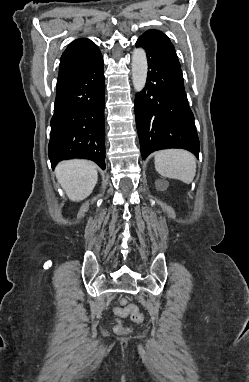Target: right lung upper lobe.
Segmentation results:
<instances>
[{
    "label": "right lung upper lobe",
    "mask_w": 249,
    "mask_h": 382,
    "mask_svg": "<svg viewBox=\"0 0 249 382\" xmlns=\"http://www.w3.org/2000/svg\"><path fill=\"white\" fill-rule=\"evenodd\" d=\"M99 54L97 45L88 39L80 38L71 42L60 60L57 87L92 64Z\"/></svg>",
    "instance_id": "cb5924a9"
}]
</instances>
